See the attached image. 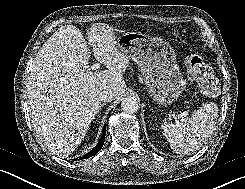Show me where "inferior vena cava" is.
Listing matches in <instances>:
<instances>
[{
    "mask_svg": "<svg viewBox=\"0 0 245 189\" xmlns=\"http://www.w3.org/2000/svg\"><path fill=\"white\" fill-rule=\"evenodd\" d=\"M115 97V94L112 90L107 89L101 92L100 94V100L104 102H108L112 100Z\"/></svg>",
    "mask_w": 245,
    "mask_h": 189,
    "instance_id": "obj_1",
    "label": "inferior vena cava"
}]
</instances>
